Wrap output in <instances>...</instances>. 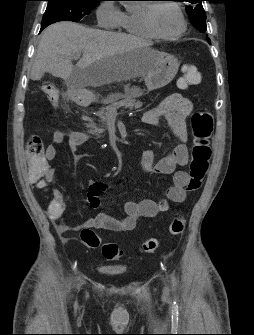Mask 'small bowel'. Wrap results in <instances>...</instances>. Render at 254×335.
Returning a JSON list of instances; mask_svg holds the SVG:
<instances>
[{
	"label": "small bowel",
	"mask_w": 254,
	"mask_h": 335,
	"mask_svg": "<svg viewBox=\"0 0 254 335\" xmlns=\"http://www.w3.org/2000/svg\"><path fill=\"white\" fill-rule=\"evenodd\" d=\"M191 101L179 94L174 93L167 96L163 101L152 109L148 110L142 117V121L151 126H158L164 120L172 135L179 141V144L165 157L155 162V152L146 149L141 155V168L145 172H154L164 175H172V185L166 190L165 197L155 201L143 199L141 201H127L124 204V217L115 218L104 212L87 219L84 223L70 227L64 222L67 211L68 197L59 190L53 191V199L48 207V216L54 222L58 234L63 242H68L66 234L70 231H79L84 228L104 229L113 232H130L135 229L137 221L141 217L153 218L159 213L169 209V203H182L186 200V184L188 175L184 171H178L177 167L185 166L188 162V139L187 118L192 112ZM66 134L61 130H55L52 134V144L45 150V162L48 165L57 156L56 145L65 141ZM88 139L86 133L73 131L67 135V142L70 152L77 155L79 147ZM29 182L38 188L44 185L38 184L39 178H28ZM107 189L104 183L95 182L90 186L88 203L93 208L101 206L100 195Z\"/></svg>",
	"instance_id": "c3829d8e"
}]
</instances>
